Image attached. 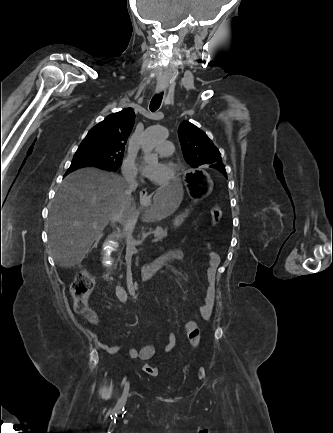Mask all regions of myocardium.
<instances>
[{"mask_svg": "<svg viewBox=\"0 0 333 433\" xmlns=\"http://www.w3.org/2000/svg\"><path fill=\"white\" fill-rule=\"evenodd\" d=\"M166 165L169 168V175L164 181L159 183V185L162 187L171 185L175 179L176 165L171 161H167Z\"/></svg>", "mask_w": 333, "mask_h": 433, "instance_id": "obj_1", "label": "myocardium"}]
</instances>
